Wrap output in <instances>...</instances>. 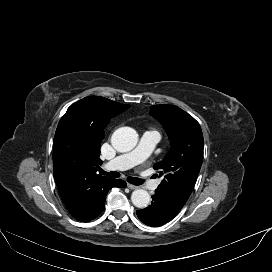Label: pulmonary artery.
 Wrapping results in <instances>:
<instances>
[{
  "mask_svg": "<svg viewBox=\"0 0 272 272\" xmlns=\"http://www.w3.org/2000/svg\"><path fill=\"white\" fill-rule=\"evenodd\" d=\"M160 140V134L155 130L146 131L138 144V146L126 154L119 155L106 164L108 169H129L138 164L143 163L150 156L156 144ZM145 187L153 190L158 186V181L145 179Z\"/></svg>",
  "mask_w": 272,
  "mask_h": 272,
  "instance_id": "1",
  "label": "pulmonary artery"
}]
</instances>
